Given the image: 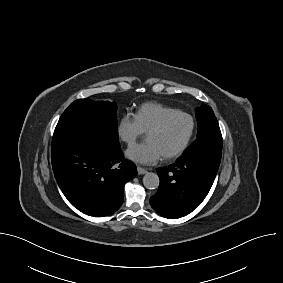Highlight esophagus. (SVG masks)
Instances as JSON below:
<instances>
[{
	"label": "esophagus",
	"mask_w": 283,
	"mask_h": 283,
	"mask_svg": "<svg viewBox=\"0 0 283 283\" xmlns=\"http://www.w3.org/2000/svg\"><path fill=\"white\" fill-rule=\"evenodd\" d=\"M137 172L139 175L147 173V170L142 167H137Z\"/></svg>",
	"instance_id": "obj_1"
}]
</instances>
